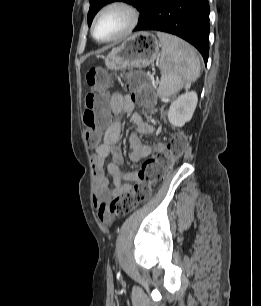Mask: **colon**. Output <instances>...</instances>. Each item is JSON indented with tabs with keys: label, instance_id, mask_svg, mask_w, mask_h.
<instances>
[{
	"label": "colon",
	"instance_id": "obj_1",
	"mask_svg": "<svg viewBox=\"0 0 261 306\" xmlns=\"http://www.w3.org/2000/svg\"><path fill=\"white\" fill-rule=\"evenodd\" d=\"M126 79L127 90L133 102L142 106L154 102V91L144 74L136 70H129ZM86 80L89 90L85 97L83 121L89 141L96 143L108 125L106 103L111 80L101 67L90 68L87 71ZM186 146L187 137L183 133H176L162 150L146 159L137 171L133 189L119 194L109 204L110 215L114 217L127 215L140 203L148 200L152 186L162 180L166 172L183 155Z\"/></svg>",
	"mask_w": 261,
	"mask_h": 306
}]
</instances>
